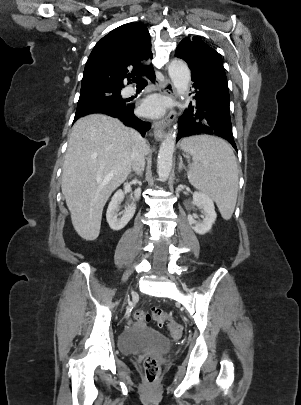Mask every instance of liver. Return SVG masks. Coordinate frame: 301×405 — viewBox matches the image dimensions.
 <instances>
[{
	"mask_svg": "<svg viewBox=\"0 0 301 405\" xmlns=\"http://www.w3.org/2000/svg\"><path fill=\"white\" fill-rule=\"evenodd\" d=\"M133 131L102 114L82 117L72 128L61 189L74 229L85 240L98 237L108 198L131 172Z\"/></svg>",
	"mask_w": 301,
	"mask_h": 405,
	"instance_id": "liver-1",
	"label": "liver"
}]
</instances>
